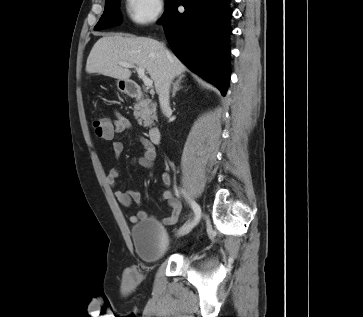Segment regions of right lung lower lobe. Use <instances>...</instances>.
I'll return each instance as SVG.
<instances>
[{"label": "right lung lower lobe", "instance_id": "obj_1", "mask_svg": "<svg viewBox=\"0 0 363 317\" xmlns=\"http://www.w3.org/2000/svg\"><path fill=\"white\" fill-rule=\"evenodd\" d=\"M230 0H171L162 19L175 55L225 95L230 77ZM185 12L177 10L178 5Z\"/></svg>", "mask_w": 363, "mask_h": 317}]
</instances>
